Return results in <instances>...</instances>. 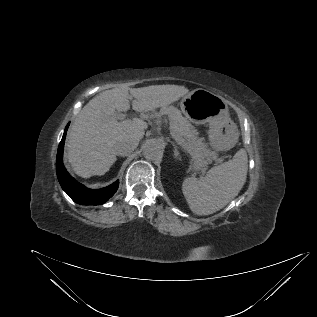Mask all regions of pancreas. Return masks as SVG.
<instances>
[{"instance_id": "pancreas-1", "label": "pancreas", "mask_w": 317, "mask_h": 317, "mask_svg": "<svg viewBox=\"0 0 317 317\" xmlns=\"http://www.w3.org/2000/svg\"><path fill=\"white\" fill-rule=\"evenodd\" d=\"M162 115H168L171 135L177 138L182 148L192 157L193 169L204 171L207 164L215 157V152L208 148L195 127L182 116L180 110L174 106H165L159 112L152 114V118H160Z\"/></svg>"}]
</instances>
